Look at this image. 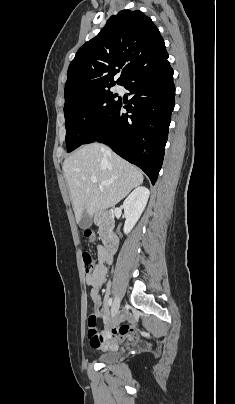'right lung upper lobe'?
<instances>
[{"label": "right lung upper lobe", "mask_w": 235, "mask_h": 404, "mask_svg": "<svg viewBox=\"0 0 235 404\" xmlns=\"http://www.w3.org/2000/svg\"><path fill=\"white\" fill-rule=\"evenodd\" d=\"M167 56L164 40L153 21L139 10H122L77 51L68 68L65 103L116 83L121 85L136 71Z\"/></svg>", "instance_id": "cb5924a9"}]
</instances>
